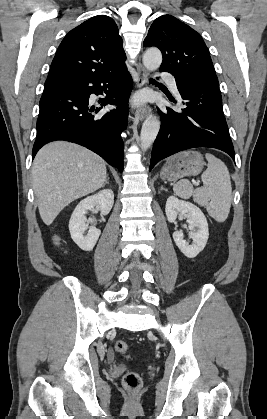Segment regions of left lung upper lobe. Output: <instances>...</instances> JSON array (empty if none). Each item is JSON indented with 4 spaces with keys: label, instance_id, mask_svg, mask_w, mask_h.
Returning <instances> with one entry per match:
<instances>
[{
    "label": "left lung upper lobe",
    "instance_id": "obj_1",
    "mask_svg": "<svg viewBox=\"0 0 267 419\" xmlns=\"http://www.w3.org/2000/svg\"><path fill=\"white\" fill-rule=\"evenodd\" d=\"M145 47L155 46L163 55L160 71L171 73L188 84L219 87L215 69L201 35L171 15L155 19L144 40Z\"/></svg>",
    "mask_w": 267,
    "mask_h": 419
}]
</instances>
